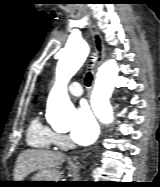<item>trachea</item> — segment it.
<instances>
[{
	"instance_id": "1",
	"label": "trachea",
	"mask_w": 160,
	"mask_h": 187,
	"mask_svg": "<svg viewBox=\"0 0 160 187\" xmlns=\"http://www.w3.org/2000/svg\"><path fill=\"white\" fill-rule=\"evenodd\" d=\"M92 79H93V77H92V74H91V72L89 71L87 74H86V77H85V85L86 86H90L91 85V83H92Z\"/></svg>"
}]
</instances>
